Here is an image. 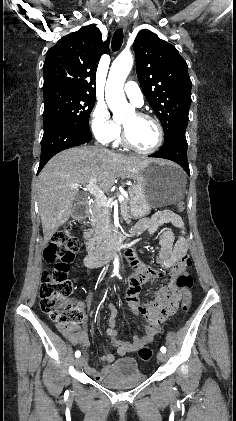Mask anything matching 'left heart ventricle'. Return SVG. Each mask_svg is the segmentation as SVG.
<instances>
[{
	"label": "left heart ventricle",
	"instance_id": "b2bd125f",
	"mask_svg": "<svg viewBox=\"0 0 236 421\" xmlns=\"http://www.w3.org/2000/svg\"><path fill=\"white\" fill-rule=\"evenodd\" d=\"M129 140L138 148L149 149L157 139L155 126L148 120L139 117L136 112L129 115L123 122Z\"/></svg>",
	"mask_w": 236,
	"mask_h": 421
}]
</instances>
